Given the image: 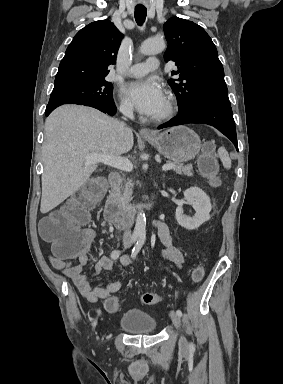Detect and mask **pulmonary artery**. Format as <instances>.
Returning a JSON list of instances; mask_svg holds the SVG:
<instances>
[{
    "label": "pulmonary artery",
    "instance_id": "1",
    "mask_svg": "<svg viewBox=\"0 0 283 384\" xmlns=\"http://www.w3.org/2000/svg\"><path fill=\"white\" fill-rule=\"evenodd\" d=\"M157 66V61H146L145 65L143 63H137L126 71V75L129 77H141L150 71H156Z\"/></svg>",
    "mask_w": 283,
    "mask_h": 384
}]
</instances>
